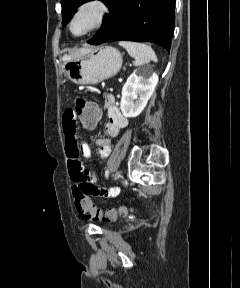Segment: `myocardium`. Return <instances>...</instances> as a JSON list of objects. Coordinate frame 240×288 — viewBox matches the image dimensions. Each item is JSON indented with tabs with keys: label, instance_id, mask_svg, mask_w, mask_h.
Returning a JSON list of instances; mask_svg holds the SVG:
<instances>
[{
	"label": "myocardium",
	"instance_id": "f54148a6",
	"mask_svg": "<svg viewBox=\"0 0 240 288\" xmlns=\"http://www.w3.org/2000/svg\"><path fill=\"white\" fill-rule=\"evenodd\" d=\"M87 8H95L97 11V16L94 24L84 33L82 34H75L72 29V25L76 17L85 9ZM110 12L109 5L104 0H85L83 1L78 7L75 9L70 21H69V31L74 37H84L89 35L90 33L98 30L101 28Z\"/></svg>",
	"mask_w": 240,
	"mask_h": 288
}]
</instances>
